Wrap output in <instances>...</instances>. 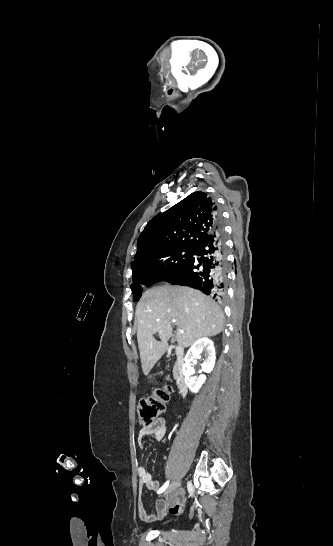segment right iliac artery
<instances>
[{
	"instance_id": "right-iliac-artery-1",
	"label": "right iliac artery",
	"mask_w": 333,
	"mask_h": 546,
	"mask_svg": "<svg viewBox=\"0 0 333 546\" xmlns=\"http://www.w3.org/2000/svg\"><path fill=\"white\" fill-rule=\"evenodd\" d=\"M168 485H169V481H167V482L158 490V494L163 493V492L167 489Z\"/></svg>"
}]
</instances>
